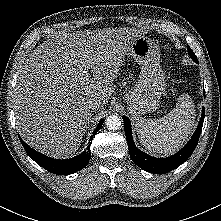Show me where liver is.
Listing matches in <instances>:
<instances>
[{
	"label": "liver",
	"mask_w": 221,
	"mask_h": 221,
	"mask_svg": "<svg viewBox=\"0 0 221 221\" xmlns=\"http://www.w3.org/2000/svg\"><path fill=\"white\" fill-rule=\"evenodd\" d=\"M138 33L125 27L76 31L40 44L15 88L16 127L24 141L53 158L72 156L91 119L87 102L107 104Z\"/></svg>",
	"instance_id": "obj_1"
}]
</instances>
